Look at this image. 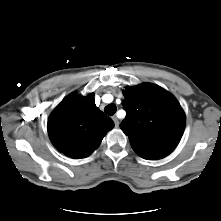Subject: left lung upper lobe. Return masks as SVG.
Here are the masks:
<instances>
[{
	"mask_svg": "<svg viewBox=\"0 0 221 221\" xmlns=\"http://www.w3.org/2000/svg\"><path fill=\"white\" fill-rule=\"evenodd\" d=\"M123 94L127 115L120 127L133 150L147 160L169 155L185 128V114L176 98L151 83L128 87Z\"/></svg>",
	"mask_w": 221,
	"mask_h": 221,
	"instance_id": "left-lung-upper-lobe-1",
	"label": "left lung upper lobe"
}]
</instances>
